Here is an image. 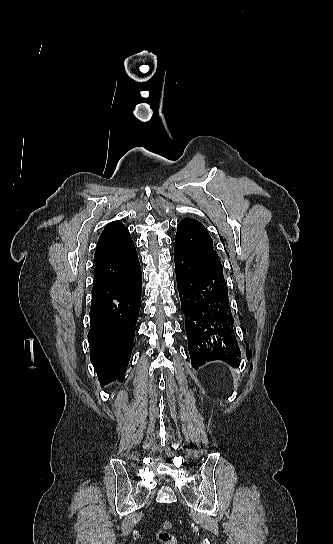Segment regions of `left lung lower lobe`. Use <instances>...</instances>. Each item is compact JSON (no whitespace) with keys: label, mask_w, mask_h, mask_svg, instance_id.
I'll use <instances>...</instances> for the list:
<instances>
[{"label":"left lung lower lobe","mask_w":333,"mask_h":544,"mask_svg":"<svg viewBox=\"0 0 333 544\" xmlns=\"http://www.w3.org/2000/svg\"><path fill=\"white\" fill-rule=\"evenodd\" d=\"M174 261L192 366L214 360L236 366L241 352L223 274L180 250Z\"/></svg>","instance_id":"0a47b994"}]
</instances>
